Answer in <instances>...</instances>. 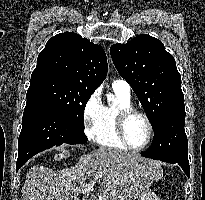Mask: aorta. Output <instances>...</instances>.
Here are the masks:
<instances>
[{"mask_svg": "<svg viewBox=\"0 0 205 200\" xmlns=\"http://www.w3.org/2000/svg\"><path fill=\"white\" fill-rule=\"evenodd\" d=\"M113 99H114L113 95H111V94L107 95V100H108L109 103L112 102Z\"/></svg>", "mask_w": 205, "mask_h": 200, "instance_id": "obj_1", "label": "aorta"}]
</instances>
